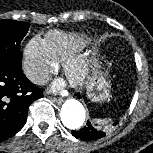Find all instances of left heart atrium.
<instances>
[{
	"label": "left heart atrium",
	"mask_w": 153,
	"mask_h": 153,
	"mask_svg": "<svg viewBox=\"0 0 153 153\" xmlns=\"http://www.w3.org/2000/svg\"><path fill=\"white\" fill-rule=\"evenodd\" d=\"M62 87V84L60 82H56L54 85H53V90H60Z\"/></svg>",
	"instance_id": "1"
}]
</instances>
